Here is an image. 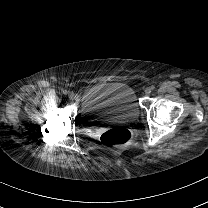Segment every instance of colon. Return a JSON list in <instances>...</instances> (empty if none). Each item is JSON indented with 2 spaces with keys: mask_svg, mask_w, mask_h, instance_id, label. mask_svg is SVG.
Masks as SVG:
<instances>
[{
  "mask_svg": "<svg viewBox=\"0 0 208 208\" xmlns=\"http://www.w3.org/2000/svg\"><path fill=\"white\" fill-rule=\"evenodd\" d=\"M130 138V132L122 127L107 130L101 136L102 142L108 147L125 145L129 142Z\"/></svg>",
  "mask_w": 208,
  "mask_h": 208,
  "instance_id": "obj_1",
  "label": "colon"
}]
</instances>
